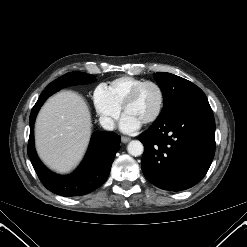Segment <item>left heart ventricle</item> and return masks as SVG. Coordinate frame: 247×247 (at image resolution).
I'll return each mask as SVG.
<instances>
[{"mask_svg":"<svg viewBox=\"0 0 247 247\" xmlns=\"http://www.w3.org/2000/svg\"><path fill=\"white\" fill-rule=\"evenodd\" d=\"M158 104L159 94L157 89L148 85L141 90L136 100L127 107L125 113L143 123L155 113Z\"/></svg>","mask_w":247,"mask_h":247,"instance_id":"b2bd125f","label":"left heart ventricle"}]
</instances>
